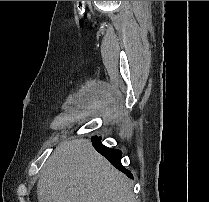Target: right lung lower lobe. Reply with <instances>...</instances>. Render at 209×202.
<instances>
[{
    "mask_svg": "<svg viewBox=\"0 0 209 202\" xmlns=\"http://www.w3.org/2000/svg\"><path fill=\"white\" fill-rule=\"evenodd\" d=\"M101 139L102 138L98 136L91 137V141H92L94 148L101 155L107 158L114 167L124 172L128 177L133 178L131 172L125 169L121 165V157H122L121 151L118 149H111V148L105 147L104 145H102Z\"/></svg>",
    "mask_w": 209,
    "mask_h": 202,
    "instance_id": "1",
    "label": "right lung lower lobe"
}]
</instances>
